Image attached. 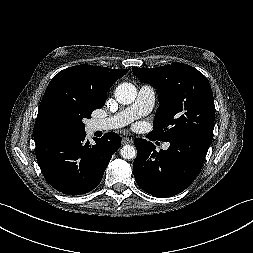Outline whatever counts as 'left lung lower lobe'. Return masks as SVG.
I'll return each mask as SVG.
<instances>
[{"label": "left lung lower lobe", "mask_w": 253, "mask_h": 253, "mask_svg": "<svg viewBox=\"0 0 253 253\" xmlns=\"http://www.w3.org/2000/svg\"><path fill=\"white\" fill-rule=\"evenodd\" d=\"M149 139H154L148 135ZM212 138L193 135L169 141L157 152L152 142L137 138L133 173L138 186L155 197H170L185 190L197 177Z\"/></svg>", "instance_id": "1"}]
</instances>
